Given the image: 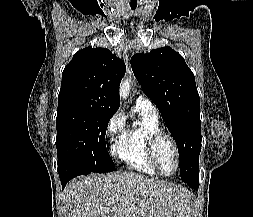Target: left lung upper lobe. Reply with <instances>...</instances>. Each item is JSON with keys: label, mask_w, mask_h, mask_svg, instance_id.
<instances>
[{"label": "left lung upper lobe", "mask_w": 253, "mask_h": 217, "mask_svg": "<svg viewBox=\"0 0 253 217\" xmlns=\"http://www.w3.org/2000/svg\"><path fill=\"white\" fill-rule=\"evenodd\" d=\"M132 70L144 93L156 104L176 141L181 180L199 182L201 151L199 94L183 57L170 47L135 54Z\"/></svg>", "instance_id": "obj_1"}]
</instances>
